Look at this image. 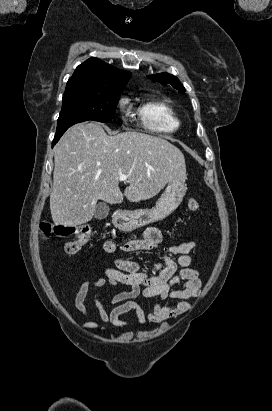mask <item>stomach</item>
<instances>
[{"label": "stomach", "mask_w": 272, "mask_h": 411, "mask_svg": "<svg viewBox=\"0 0 272 411\" xmlns=\"http://www.w3.org/2000/svg\"><path fill=\"white\" fill-rule=\"evenodd\" d=\"M185 193V182L174 179L168 182L164 193L153 208L118 211L112 216V222L119 230L131 232L150 223L161 221L178 208Z\"/></svg>", "instance_id": "obj_1"}]
</instances>
